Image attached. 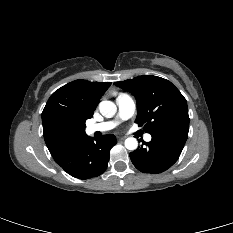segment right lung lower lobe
Listing matches in <instances>:
<instances>
[{
	"mask_svg": "<svg viewBox=\"0 0 233 233\" xmlns=\"http://www.w3.org/2000/svg\"><path fill=\"white\" fill-rule=\"evenodd\" d=\"M115 144L116 138L112 134L100 138L86 137L55 161L75 178L97 177L106 170L110 149Z\"/></svg>",
	"mask_w": 233,
	"mask_h": 233,
	"instance_id": "1",
	"label": "right lung lower lobe"
}]
</instances>
